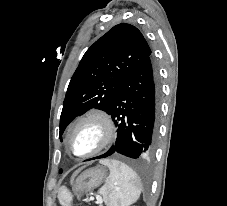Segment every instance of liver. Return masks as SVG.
Instances as JSON below:
<instances>
[{"label":"liver","mask_w":227,"mask_h":206,"mask_svg":"<svg viewBox=\"0 0 227 206\" xmlns=\"http://www.w3.org/2000/svg\"><path fill=\"white\" fill-rule=\"evenodd\" d=\"M80 170H81V169L77 170V171L73 174V176H72V178H71V181H73V179H74L75 176L80 172Z\"/></svg>","instance_id":"obj_1"}]
</instances>
